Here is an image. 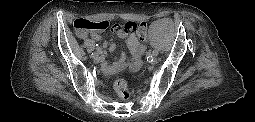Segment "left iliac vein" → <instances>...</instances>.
<instances>
[{
  "label": "left iliac vein",
  "instance_id": "obj_1",
  "mask_svg": "<svg viewBox=\"0 0 255 122\" xmlns=\"http://www.w3.org/2000/svg\"><path fill=\"white\" fill-rule=\"evenodd\" d=\"M150 63H151L152 65H156V64L158 63L157 57L153 56V57L151 58V60H150Z\"/></svg>",
  "mask_w": 255,
  "mask_h": 122
}]
</instances>
